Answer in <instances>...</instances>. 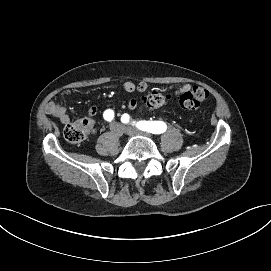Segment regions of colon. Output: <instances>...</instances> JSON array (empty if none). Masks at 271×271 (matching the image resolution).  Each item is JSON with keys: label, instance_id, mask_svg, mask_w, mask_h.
<instances>
[{"label": "colon", "instance_id": "obj_1", "mask_svg": "<svg viewBox=\"0 0 271 271\" xmlns=\"http://www.w3.org/2000/svg\"><path fill=\"white\" fill-rule=\"evenodd\" d=\"M209 93L200 86H194L185 91L181 96L179 103L183 109L195 110L200 103L207 99ZM168 97L158 91H152L142 97V105L146 108L156 109L164 106ZM88 126L85 122H75L68 124L64 129V138L73 144H82L87 136Z\"/></svg>", "mask_w": 271, "mask_h": 271}]
</instances>
